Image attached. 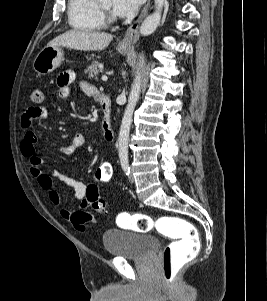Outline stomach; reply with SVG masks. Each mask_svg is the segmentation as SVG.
<instances>
[{
    "label": "stomach",
    "instance_id": "1",
    "mask_svg": "<svg viewBox=\"0 0 267 301\" xmlns=\"http://www.w3.org/2000/svg\"><path fill=\"white\" fill-rule=\"evenodd\" d=\"M129 46L118 45L117 51L127 53ZM63 60V51L60 46H47L42 49L33 62V68L39 75H47L55 70Z\"/></svg>",
    "mask_w": 267,
    "mask_h": 301
}]
</instances>
